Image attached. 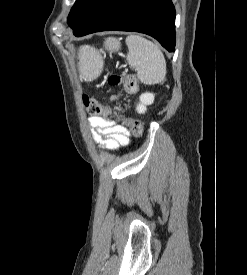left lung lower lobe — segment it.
Instances as JSON below:
<instances>
[{"label":"left lung lower lobe","instance_id":"obj_1","mask_svg":"<svg viewBox=\"0 0 247 275\" xmlns=\"http://www.w3.org/2000/svg\"><path fill=\"white\" fill-rule=\"evenodd\" d=\"M104 30L144 33L173 52L175 8L171 0H102L73 33L80 37Z\"/></svg>","mask_w":247,"mask_h":275}]
</instances>
